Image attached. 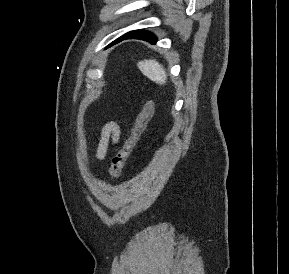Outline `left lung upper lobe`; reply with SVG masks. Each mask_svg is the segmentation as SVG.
<instances>
[{
  "mask_svg": "<svg viewBox=\"0 0 289 274\" xmlns=\"http://www.w3.org/2000/svg\"><path fill=\"white\" fill-rule=\"evenodd\" d=\"M128 33H130V32H128ZM128 33H126V34H128ZM126 34H124L123 36H125ZM123 36H121V37H123ZM121 37H119V38H121ZM119 38H118V39H119ZM116 40H117V39H116Z\"/></svg>",
  "mask_w": 289,
  "mask_h": 274,
  "instance_id": "left-lung-upper-lobe-1",
  "label": "left lung upper lobe"
}]
</instances>
